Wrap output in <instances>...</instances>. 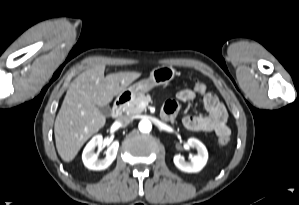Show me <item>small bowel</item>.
<instances>
[{
	"label": "small bowel",
	"mask_w": 299,
	"mask_h": 205,
	"mask_svg": "<svg viewBox=\"0 0 299 205\" xmlns=\"http://www.w3.org/2000/svg\"><path fill=\"white\" fill-rule=\"evenodd\" d=\"M194 98L195 92L193 90H180L176 94L175 100H168L165 103L162 114L167 115L169 119L173 118L180 111V103L189 102ZM203 106L207 112V115H185L182 119L184 127L191 131L214 133L217 136L230 134V129L227 125V111L217 96L212 93L204 94Z\"/></svg>",
	"instance_id": "c3829d8e"
}]
</instances>
